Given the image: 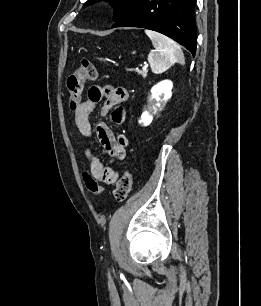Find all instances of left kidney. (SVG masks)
I'll return each instance as SVG.
<instances>
[{"mask_svg":"<svg viewBox=\"0 0 261 306\" xmlns=\"http://www.w3.org/2000/svg\"><path fill=\"white\" fill-rule=\"evenodd\" d=\"M173 83L170 80H164L154 85L151 89V95L148 99L147 110L141 115L139 123H143L144 126H148L152 120L153 116L162 109V106L171 98L172 96Z\"/></svg>","mask_w":261,"mask_h":306,"instance_id":"1","label":"left kidney"}]
</instances>
